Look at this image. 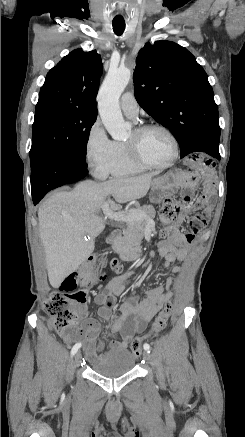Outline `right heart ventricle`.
<instances>
[{"label": "right heart ventricle", "mask_w": 245, "mask_h": 437, "mask_svg": "<svg viewBox=\"0 0 245 437\" xmlns=\"http://www.w3.org/2000/svg\"><path fill=\"white\" fill-rule=\"evenodd\" d=\"M146 168L134 163L128 156L124 143L115 142V154L109 167V175L114 178L137 175Z\"/></svg>", "instance_id": "obj_1"}]
</instances>
